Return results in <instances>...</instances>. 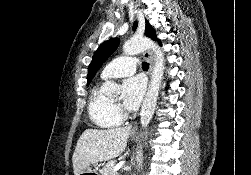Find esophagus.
<instances>
[{
    "instance_id": "obj_1",
    "label": "esophagus",
    "mask_w": 251,
    "mask_h": 175,
    "mask_svg": "<svg viewBox=\"0 0 251 175\" xmlns=\"http://www.w3.org/2000/svg\"><path fill=\"white\" fill-rule=\"evenodd\" d=\"M143 56L147 59L149 63V70H148V76L150 77L153 71V65H154V56L153 53L150 50H147L143 53Z\"/></svg>"
}]
</instances>
